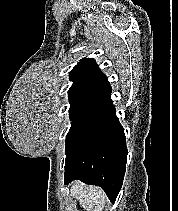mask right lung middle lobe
I'll use <instances>...</instances> for the list:
<instances>
[{
	"label": "right lung middle lobe",
	"mask_w": 178,
	"mask_h": 211,
	"mask_svg": "<svg viewBox=\"0 0 178 211\" xmlns=\"http://www.w3.org/2000/svg\"><path fill=\"white\" fill-rule=\"evenodd\" d=\"M94 105L95 104H92V103H81V104H74L70 106L69 115H70V120L72 121V125L67 134V138L72 134L75 128L90 112V110L94 107Z\"/></svg>",
	"instance_id": "1"
}]
</instances>
